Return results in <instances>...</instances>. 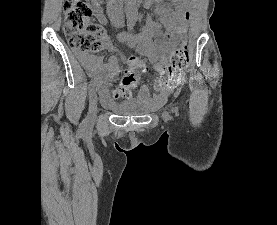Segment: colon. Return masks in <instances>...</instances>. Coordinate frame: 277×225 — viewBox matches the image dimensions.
<instances>
[{"label":"colon","mask_w":277,"mask_h":225,"mask_svg":"<svg viewBox=\"0 0 277 225\" xmlns=\"http://www.w3.org/2000/svg\"><path fill=\"white\" fill-rule=\"evenodd\" d=\"M91 2H97V0H91ZM64 31L70 47L77 53L99 52L105 46L100 39L99 28L93 23L92 8L85 0H65ZM188 61L189 54L186 45L175 49L170 56L168 65L161 72V81L168 84L177 83ZM144 69L143 60L135 56L130 57L121 82L114 90V98H130Z\"/></svg>","instance_id":"5ec220e1"}]
</instances>
